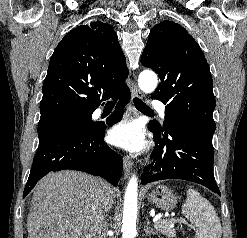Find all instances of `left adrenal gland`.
I'll return each mask as SVG.
<instances>
[{
  "label": "left adrenal gland",
  "mask_w": 247,
  "mask_h": 238,
  "mask_svg": "<svg viewBox=\"0 0 247 238\" xmlns=\"http://www.w3.org/2000/svg\"><path fill=\"white\" fill-rule=\"evenodd\" d=\"M144 231L148 235H156L157 234V232L155 230L150 228V222H149L148 217H146V221H145V225H144Z\"/></svg>",
  "instance_id": "left-adrenal-gland-1"
}]
</instances>
